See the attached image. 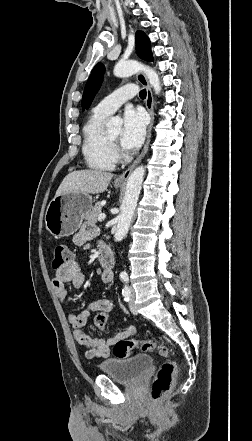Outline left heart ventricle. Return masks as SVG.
<instances>
[{
    "label": "left heart ventricle",
    "mask_w": 252,
    "mask_h": 441,
    "mask_svg": "<svg viewBox=\"0 0 252 441\" xmlns=\"http://www.w3.org/2000/svg\"><path fill=\"white\" fill-rule=\"evenodd\" d=\"M120 135H121V131H120V129L115 130L114 132L108 134V136L110 137V139L113 140V141H115V142H117V141L119 140Z\"/></svg>",
    "instance_id": "b2bd125f"
}]
</instances>
